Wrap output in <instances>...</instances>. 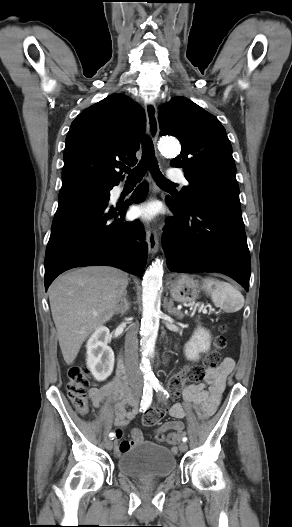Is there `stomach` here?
I'll return each instance as SVG.
<instances>
[{
  "label": "stomach",
  "mask_w": 292,
  "mask_h": 527,
  "mask_svg": "<svg viewBox=\"0 0 292 527\" xmlns=\"http://www.w3.org/2000/svg\"><path fill=\"white\" fill-rule=\"evenodd\" d=\"M199 292L197 281L188 275H180L170 283V294L177 302H193L198 298Z\"/></svg>",
  "instance_id": "stomach-1"
}]
</instances>
